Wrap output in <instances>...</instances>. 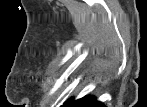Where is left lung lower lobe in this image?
Wrapping results in <instances>:
<instances>
[{"instance_id":"0a47b994","label":"left lung lower lobe","mask_w":147,"mask_h":107,"mask_svg":"<svg viewBox=\"0 0 147 107\" xmlns=\"http://www.w3.org/2000/svg\"><path fill=\"white\" fill-rule=\"evenodd\" d=\"M63 107H106L102 102L98 101L96 97L88 95L78 100L70 98L64 103Z\"/></svg>"}]
</instances>
